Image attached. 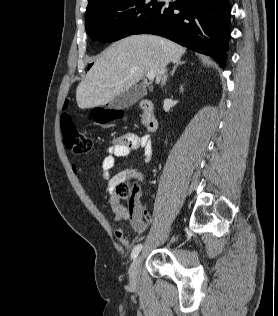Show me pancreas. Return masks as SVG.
<instances>
[{
	"mask_svg": "<svg viewBox=\"0 0 278 316\" xmlns=\"http://www.w3.org/2000/svg\"><path fill=\"white\" fill-rule=\"evenodd\" d=\"M142 122H143V123H145V122H146V120H145L144 116H142Z\"/></svg>",
	"mask_w": 278,
	"mask_h": 316,
	"instance_id": "1",
	"label": "pancreas"
}]
</instances>
